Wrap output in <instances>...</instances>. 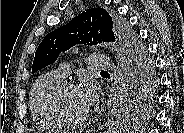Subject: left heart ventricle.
I'll use <instances>...</instances> for the list:
<instances>
[{
  "label": "left heart ventricle",
  "mask_w": 184,
  "mask_h": 133,
  "mask_svg": "<svg viewBox=\"0 0 184 133\" xmlns=\"http://www.w3.org/2000/svg\"><path fill=\"white\" fill-rule=\"evenodd\" d=\"M60 108L65 116L72 119L82 117L89 109L78 88H69L63 92L60 98Z\"/></svg>",
  "instance_id": "left-heart-ventricle-1"
}]
</instances>
